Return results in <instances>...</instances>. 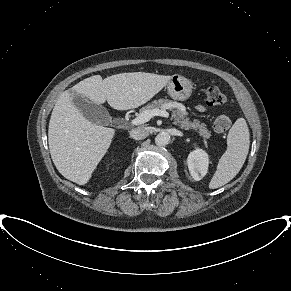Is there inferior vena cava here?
Segmentation results:
<instances>
[{"mask_svg": "<svg viewBox=\"0 0 291 291\" xmlns=\"http://www.w3.org/2000/svg\"><path fill=\"white\" fill-rule=\"evenodd\" d=\"M149 135L148 127H138L130 131V137L135 140L145 139Z\"/></svg>", "mask_w": 291, "mask_h": 291, "instance_id": "602c4592", "label": "inferior vena cava"}]
</instances>
